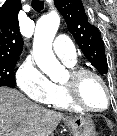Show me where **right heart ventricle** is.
<instances>
[{"instance_id": "1", "label": "right heart ventricle", "mask_w": 117, "mask_h": 136, "mask_svg": "<svg viewBox=\"0 0 117 136\" xmlns=\"http://www.w3.org/2000/svg\"><path fill=\"white\" fill-rule=\"evenodd\" d=\"M73 66V65H71ZM49 104L53 105L59 109H65L69 111H79L76 107H74L66 97L64 89L61 85H55L54 92L51 96Z\"/></svg>"}]
</instances>
